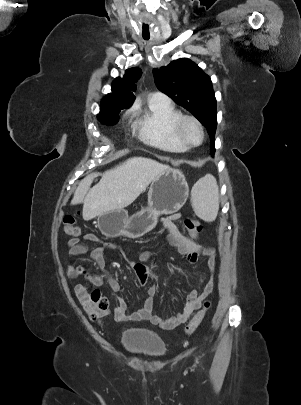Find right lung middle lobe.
<instances>
[{
  "label": "right lung middle lobe",
  "mask_w": 301,
  "mask_h": 405,
  "mask_svg": "<svg viewBox=\"0 0 301 405\" xmlns=\"http://www.w3.org/2000/svg\"><path fill=\"white\" fill-rule=\"evenodd\" d=\"M119 112H120V110L115 111V112H110V113H104V112L100 111L98 118L102 123H105L107 125H114L118 122Z\"/></svg>",
  "instance_id": "right-lung-middle-lobe-1"
}]
</instances>
